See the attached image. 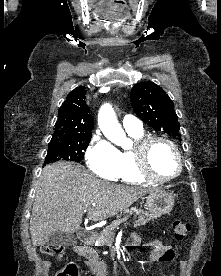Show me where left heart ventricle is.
Returning <instances> with one entry per match:
<instances>
[{"instance_id":"1","label":"left heart ventricle","mask_w":221,"mask_h":276,"mask_svg":"<svg viewBox=\"0 0 221 276\" xmlns=\"http://www.w3.org/2000/svg\"><path fill=\"white\" fill-rule=\"evenodd\" d=\"M149 164L151 170L159 176H169L176 173L177 157L173 149L163 141H157L149 149Z\"/></svg>"}]
</instances>
